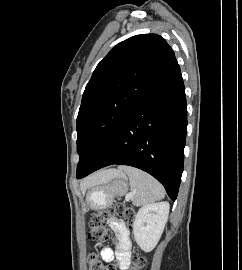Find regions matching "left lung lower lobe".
Listing matches in <instances>:
<instances>
[{
  "mask_svg": "<svg viewBox=\"0 0 242 270\" xmlns=\"http://www.w3.org/2000/svg\"><path fill=\"white\" fill-rule=\"evenodd\" d=\"M186 133L185 87L175 61L77 178L108 165H129L155 177L175 201L183 172Z\"/></svg>",
  "mask_w": 242,
  "mask_h": 270,
  "instance_id": "left-lung-lower-lobe-1",
  "label": "left lung lower lobe"
}]
</instances>
